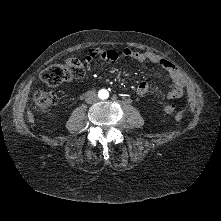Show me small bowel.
<instances>
[{
    "label": "small bowel",
    "instance_id": "1",
    "mask_svg": "<svg viewBox=\"0 0 221 221\" xmlns=\"http://www.w3.org/2000/svg\"><path fill=\"white\" fill-rule=\"evenodd\" d=\"M122 57H128L137 62H151L157 65L164 73L171 79L172 88L161 91L159 94L164 99H177L184 94L185 80L180 70L171 61L152 52H140L129 48L114 49V48H100L89 49L86 54V62L88 65L95 59L116 61ZM151 90L147 82H141L136 92L138 95H145Z\"/></svg>",
    "mask_w": 221,
    "mask_h": 221
}]
</instances>
